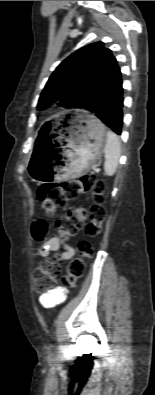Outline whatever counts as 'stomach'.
<instances>
[{
  "mask_svg": "<svg viewBox=\"0 0 155 395\" xmlns=\"http://www.w3.org/2000/svg\"><path fill=\"white\" fill-rule=\"evenodd\" d=\"M62 134L58 152L47 156V151H35L28 165L33 181L75 178L88 170L101 155L106 143V128L86 110H75Z\"/></svg>",
  "mask_w": 155,
  "mask_h": 395,
  "instance_id": "obj_1",
  "label": "stomach"
}]
</instances>
